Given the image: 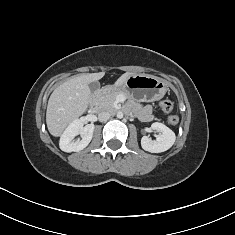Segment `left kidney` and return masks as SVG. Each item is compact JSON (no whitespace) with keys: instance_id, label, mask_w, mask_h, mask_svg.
I'll return each mask as SVG.
<instances>
[{"instance_id":"left-kidney-1","label":"left kidney","mask_w":235,"mask_h":235,"mask_svg":"<svg viewBox=\"0 0 235 235\" xmlns=\"http://www.w3.org/2000/svg\"><path fill=\"white\" fill-rule=\"evenodd\" d=\"M153 130H156L159 135L155 140H152L148 136H143L141 139V146L145 151L151 153H160L168 150L175 142V133L163 123L154 122L151 125Z\"/></svg>"}]
</instances>
